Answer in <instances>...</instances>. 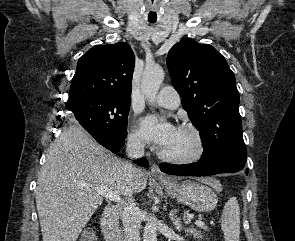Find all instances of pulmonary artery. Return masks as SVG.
<instances>
[{"instance_id":"1","label":"pulmonary artery","mask_w":295,"mask_h":241,"mask_svg":"<svg viewBox=\"0 0 295 241\" xmlns=\"http://www.w3.org/2000/svg\"><path fill=\"white\" fill-rule=\"evenodd\" d=\"M155 102L168 109H176L180 105V96L173 87H163L155 97Z\"/></svg>"}]
</instances>
